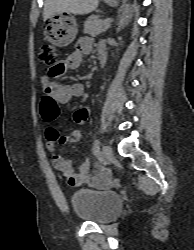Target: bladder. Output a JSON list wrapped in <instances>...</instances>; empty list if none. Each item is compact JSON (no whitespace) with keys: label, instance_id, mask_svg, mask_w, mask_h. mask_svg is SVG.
Segmentation results:
<instances>
[{"label":"bladder","instance_id":"31cf9c89","mask_svg":"<svg viewBox=\"0 0 194 250\" xmlns=\"http://www.w3.org/2000/svg\"><path fill=\"white\" fill-rule=\"evenodd\" d=\"M70 202L79 219L98 224L113 220L122 209L121 197L104 190L78 189L71 194Z\"/></svg>","mask_w":194,"mask_h":250}]
</instances>
